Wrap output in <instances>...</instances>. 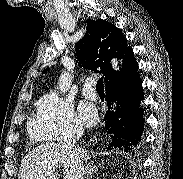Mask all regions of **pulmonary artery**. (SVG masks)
I'll use <instances>...</instances> for the list:
<instances>
[{
  "instance_id": "obj_1",
  "label": "pulmonary artery",
  "mask_w": 183,
  "mask_h": 179,
  "mask_svg": "<svg viewBox=\"0 0 183 179\" xmlns=\"http://www.w3.org/2000/svg\"><path fill=\"white\" fill-rule=\"evenodd\" d=\"M95 82L93 79L88 78L85 80L83 87H82V93L85 97L89 98V99H96L97 97V93L95 91V89L93 88Z\"/></svg>"
}]
</instances>
